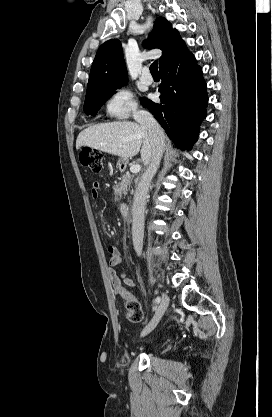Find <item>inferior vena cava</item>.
Masks as SVG:
<instances>
[{
  "label": "inferior vena cava",
  "instance_id": "602c4592",
  "mask_svg": "<svg viewBox=\"0 0 272 417\" xmlns=\"http://www.w3.org/2000/svg\"><path fill=\"white\" fill-rule=\"evenodd\" d=\"M134 119L148 131L152 145V158L137 185L132 206V240L134 249L140 256L143 247L146 196L151 180L160 165L165 147V136L162 128L150 112L139 110L135 113Z\"/></svg>",
  "mask_w": 272,
  "mask_h": 417
}]
</instances>
